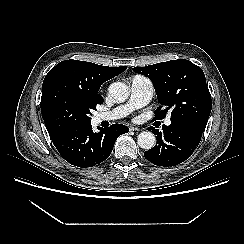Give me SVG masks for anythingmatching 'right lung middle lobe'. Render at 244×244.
I'll list each match as a JSON object with an SVG mask.
<instances>
[{"label": "right lung middle lobe", "mask_w": 244, "mask_h": 244, "mask_svg": "<svg viewBox=\"0 0 244 244\" xmlns=\"http://www.w3.org/2000/svg\"><path fill=\"white\" fill-rule=\"evenodd\" d=\"M95 103L80 98L59 83L50 84L41 98V114L49 133L68 127L91 124Z\"/></svg>", "instance_id": "right-lung-middle-lobe-1"}]
</instances>
